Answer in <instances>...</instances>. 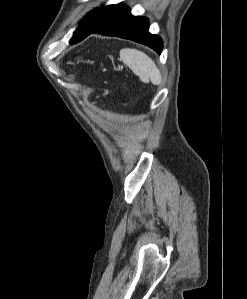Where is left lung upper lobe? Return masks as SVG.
<instances>
[{"label":"left lung upper lobe","mask_w":247,"mask_h":299,"mask_svg":"<svg viewBox=\"0 0 247 299\" xmlns=\"http://www.w3.org/2000/svg\"><path fill=\"white\" fill-rule=\"evenodd\" d=\"M121 6L122 4L109 5L89 12L79 23V26L74 32L70 43L73 44L79 41L86 33L100 25L104 20L114 14Z\"/></svg>","instance_id":"1"}]
</instances>
